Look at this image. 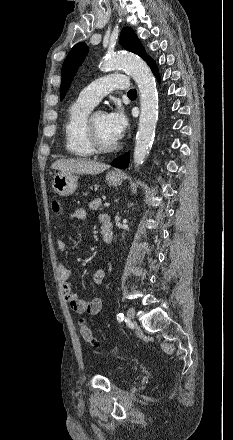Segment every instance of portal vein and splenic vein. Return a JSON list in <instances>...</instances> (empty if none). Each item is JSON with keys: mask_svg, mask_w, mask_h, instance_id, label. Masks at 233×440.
<instances>
[{"mask_svg": "<svg viewBox=\"0 0 233 440\" xmlns=\"http://www.w3.org/2000/svg\"><path fill=\"white\" fill-rule=\"evenodd\" d=\"M110 206V204L109 203H104V207H109Z\"/></svg>", "mask_w": 233, "mask_h": 440, "instance_id": "18ae733b", "label": "portal vein and splenic vein"}]
</instances>
